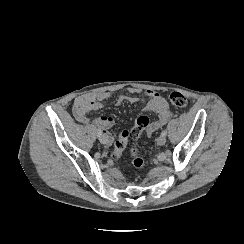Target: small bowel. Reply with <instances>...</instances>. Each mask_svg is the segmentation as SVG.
I'll use <instances>...</instances> for the list:
<instances>
[{
    "label": "small bowel",
    "instance_id": "c3829d8e",
    "mask_svg": "<svg viewBox=\"0 0 244 244\" xmlns=\"http://www.w3.org/2000/svg\"><path fill=\"white\" fill-rule=\"evenodd\" d=\"M130 92L132 94H141V97L127 96L125 97L126 101L129 103L143 101L145 103V110L154 112L158 116L157 119L151 120L150 127L145 129L148 135L155 133L172 117L173 112L169 104L159 92L151 89H131ZM111 96V92H99L81 95L74 100L72 106L74 118L80 123L88 124L93 122L99 127L103 128L104 134L107 135L109 143L113 142L114 140V135L111 131L114 125L113 117L106 114L91 117L90 114L100 111L103 107L102 102L110 99Z\"/></svg>",
    "mask_w": 244,
    "mask_h": 244
}]
</instances>
